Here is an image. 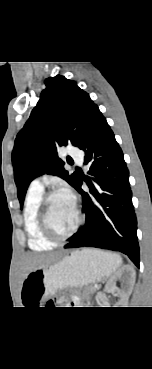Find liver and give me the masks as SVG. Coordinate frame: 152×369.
Returning <instances> with one entry per match:
<instances>
[{
  "label": "liver",
  "instance_id": "6515ba94",
  "mask_svg": "<svg viewBox=\"0 0 152 369\" xmlns=\"http://www.w3.org/2000/svg\"><path fill=\"white\" fill-rule=\"evenodd\" d=\"M56 260V256L54 254H28L24 260V269L26 273L23 277H26L27 274L37 268H43L48 266L50 263Z\"/></svg>",
  "mask_w": 152,
  "mask_h": 369
}]
</instances>
